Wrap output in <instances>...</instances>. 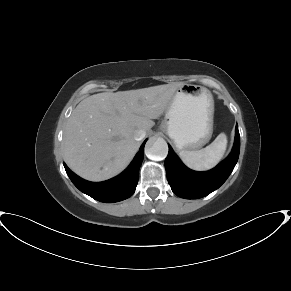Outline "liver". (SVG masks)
<instances>
[{
	"mask_svg": "<svg viewBox=\"0 0 291 291\" xmlns=\"http://www.w3.org/2000/svg\"><path fill=\"white\" fill-rule=\"evenodd\" d=\"M182 83L103 92L82 100L69 117L63 155L69 168L90 181L122 172L139 149L137 130L149 131Z\"/></svg>",
	"mask_w": 291,
	"mask_h": 291,
	"instance_id": "obj_1",
	"label": "liver"
}]
</instances>
